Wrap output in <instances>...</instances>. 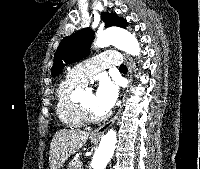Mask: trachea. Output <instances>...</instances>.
<instances>
[{"label":"trachea","mask_w":200,"mask_h":169,"mask_svg":"<svg viewBox=\"0 0 200 169\" xmlns=\"http://www.w3.org/2000/svg\"><path fill=\"white\" fill-rule=\"evenodd\" d=\"M119 70H120V71H126V72H127V67H126L124 64H122V65L119 67Z\"/></svg>","instance_id":"3493384b"}]
</instances>
